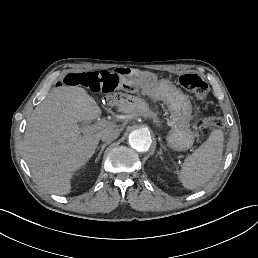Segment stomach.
I'll use <instances>...</instances> for the list:
<instances>
[{"label":"stomach","mask_w":258,"mask_h":258,"mask_svg":"<svg viewBox=\"0 0 258 258\" xmlns=\"http://www.w3.org/2000/svg\"><path fill=\"white\" fill-rule=\"evenodd\" d=\"M130 80L139 86L145 94L164 100L171 113V130L167 136L168 146L176 151H186L194 143L195 133L190 129L191 103L181 90L169 80H157L155 76L137 73Z\"/></svg>","instance_id":"obj_1"}]
</instances>
